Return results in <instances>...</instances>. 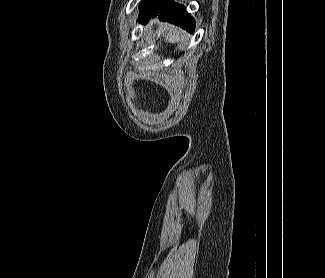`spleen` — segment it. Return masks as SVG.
<instances>
[{"instance_id":"1","label":"spleen","mask_w":325,"mask_h":278,"mask_svg":"<svg viewBox=\"0 0 325 278\" xmlns=\"http://www.w3.org/2000/svg\"><path fill=\"white\" fill-rule=\"evenodd\" d=\"M182 36L179 35V33L174 32V33H168L165 35V40L168 41L169 43H176L181 40Z\"/></svg>"}]
</instances>
